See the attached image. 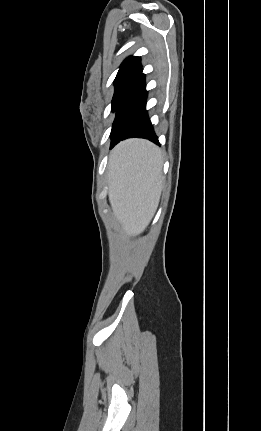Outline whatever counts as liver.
Here are the masks:
<instances>
[{"mask_svg": "<svg viewBox=\"0 0 261 431\" xmlns=\"http://www.w3.org/2000/svg\"><path fill=\"white\" fill-rule=\"evenodd\" d=\"M161 150L144 139H127L110 153L108 196L126 237L141 234L152 220L162 191Z\"/></svg>", "mask_w": 261, "mask_h": 431, "instance_id": "6515ba94", "label": "liver"}]
</instances>
